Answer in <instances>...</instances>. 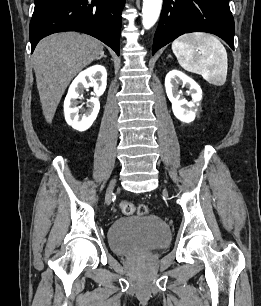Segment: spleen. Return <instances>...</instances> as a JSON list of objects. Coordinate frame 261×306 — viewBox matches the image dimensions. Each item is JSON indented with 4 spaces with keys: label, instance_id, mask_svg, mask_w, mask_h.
<instances>
[{
    "label": "spleen",
    "instance_id": "3e777b00",
    "mask_svg": "<svg viewBox=\"0 0 261 306\" xmlns=\"http://www.w3.org/2000/svg\"><path fill=\"white\" fill-rule=\"evenodd\" d=\"M172 51L186 71L200 74L216 86L226 82L227 52L213 35L202 32L184 34L172 42Z\"/></svg>",
    "mask_w": 261,
    "mask_h": 306
}]
</instances>
